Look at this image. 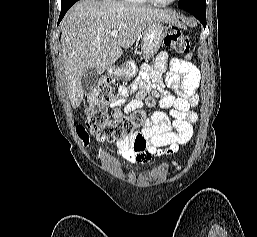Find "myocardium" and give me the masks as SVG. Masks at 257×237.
<instances>
[{
    "mask_svg": "<svg viewBox=\"0 0 257 237\" xmlns=\"http://www.w3.org/2000/svg\"><path fill=\"white\" fill-rule=\"evenodd\" d=\"M151 1L154 4H158V5H171L175 2H177L178 0H168V1H162V0H148Z\"/></svg>",
    "mask_w": 257,
    "mask_h": 237,
    "instance_id": "obj_1",
    "label": "myocardium"
}]
</instances>
